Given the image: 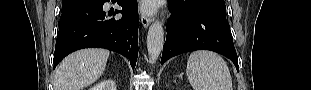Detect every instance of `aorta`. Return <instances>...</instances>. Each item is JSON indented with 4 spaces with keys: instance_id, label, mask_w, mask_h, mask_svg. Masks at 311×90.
<instances>
[{
    "instance_id": "obj_1",
    "label": "aorta",
    "mask_w": 311,
    "mask_h": 90,
    "mask_svg": "<svg viewBox=\"0 0 311 90\" xmlns=\"http://www.w3.org/2000/svg\"><path fill=\"white\" fill-rule=\"evenodd\" d=\"M164 45V30L162 23L155 21L149 27L147 34V50L149 62L154 64L159 58Z\"/></svg>"
}]
</instances>
